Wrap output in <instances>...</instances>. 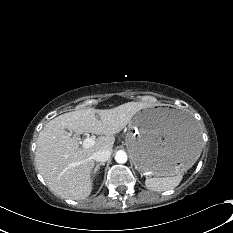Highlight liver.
I'll list each match as a JSON object with an SVG mask.
<instances>
[{
  "instance_id": "liver-1",
  "label": "liver",
  "mask_w": 233,
  "mask_h": 233,
  "mask_svg": "<svg viewBox=\"0 0 233 233\" xmlns=\"http://www.w3.org/2000/svg\"><path fill=\"white\" fill-rule=\"evenodd\" d=\"M150 106L144 102H128L112 109L88 108L62 114L48 122L36 142L35 165L50 191L64 199L87 198L93 188V153L101 149L111 151L114 135L123 130L138 111ZM65 129L76 135L101 136L92 147L79 148L77 136L70 137Z\"/></svg>"
}]
</instances>
